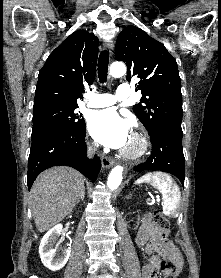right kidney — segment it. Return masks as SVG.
<instances>
[{"instance_id":"right-kidney-1","label":"right kidney","mask_w":221,"mask_h":278,"mask_svg":"<svg viewBox=\"0 0 221 278\" xmlns=\"http://www.w3.org/2000/svg\"><path fill=\"white\" fill-rule=\"evenodd\" d=\"M62 229L63 226L61 224L56 225L44 235L40 242L39 254L41 261L51 271H58L63 268L71 254V245L67 249L56 253V242L61 235Z\"/></svg>"}]
</instances>
